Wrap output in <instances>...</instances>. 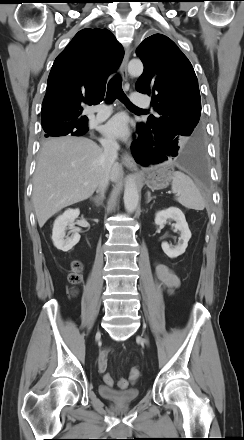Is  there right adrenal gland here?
I'll list each match as a JSON object with an SVG mask.
<instances>
[{"label":"right adrenal gland","mask_w":244,"mask_h":440,"mask_svg":"<svg viewBox=\"0 0 244 440\" xmlns=\"http://www.w3.org/2000/svg\"><path fill=\"white\" fill-rule=\"evenodd\" d=\"M91 200L95 203L97 207L103 204L104 195L92 197Z\"/></svg>","instance_id":"1"}]
</instances>
